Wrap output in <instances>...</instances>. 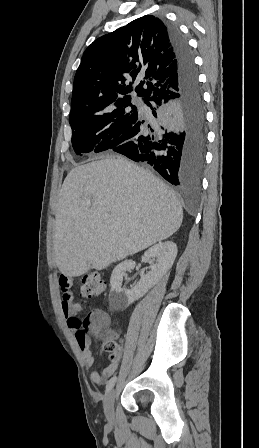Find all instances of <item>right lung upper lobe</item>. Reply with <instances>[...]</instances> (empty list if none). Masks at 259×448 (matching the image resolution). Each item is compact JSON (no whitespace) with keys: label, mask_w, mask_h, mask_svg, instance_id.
Wrapping results in <instances>:
<instances>
[{"label":"right lung upper lobe","mask_w":259,"mask_h":448,"mask_svg":"<svg viewBox=\"0 0 259 448\" xmlns=\"http://www.w3.org/2000/svg\"><path fill=\"white\" fill-rule=\"evenodd\" d=\"M177 85L167 27L158 17L145 15L85 50L74 78L70 114L132 105V91L147 102Z\"/></svg>","instance_id":"cb5924a9"}]
</instances>
